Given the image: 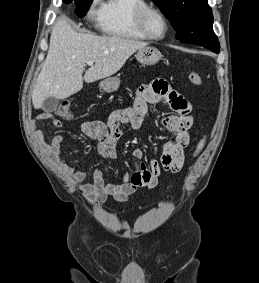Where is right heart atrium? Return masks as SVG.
Wrapping results in <instances>:
<instances>
[{"label":"right heart atrium","mask_w":259,"mask_h":283,"mask_svg":"<svg viewBox=\"0 0 259 283\" xmlns=\"http://www.w3.org/2000/svg\"><path fill=\"white\" fill-rule=\"evenodd\" d=\"M102 0H92L88 10V16L92 20H99L102 9Z\"/></svg>","instance_id":"obj_1"}]
</instances>
